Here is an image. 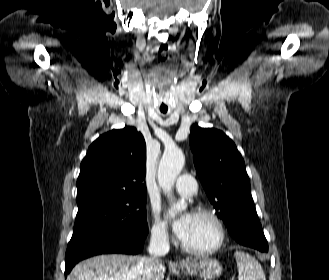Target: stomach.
<instances>
[{"label":"stomach","instance_id":"obj_1","mask_svg":"<svg viewBox=\"0 0 329 280\" xmlns=\"http://www.w3.org/2000/svg\"><path fill=\"white\" fill-rule=\"evenodd\" d=\"M181 270L191 276L212 280L220 276L222 266L217 260L204 258L181 265Z\"/></svg>","mask_w":329,"mask_h":280}]
</instances>
